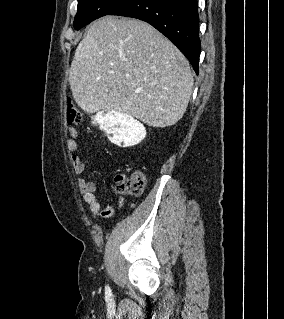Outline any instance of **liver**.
I'll list each match as a JSON object with an SVG mask.
<instances>
[{
	"instance_id": "obj_1",
	"label": "liver",
	"mask_w": 284,
	"mask_h": 319,
	"mask_svg": "<svg viewBox=\"0 0 284 319\" xmlns=\"http://www.w3.org/2000/svg\"><path fill=\"white\" fill-rule=\"evenodd\" d=\"M69 83L87 113L117 111L164 128L184 115L193 76L186 57L151 25L106 16L77 46Z\"/></svg>"
}]
</instances>
